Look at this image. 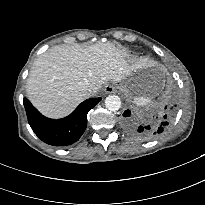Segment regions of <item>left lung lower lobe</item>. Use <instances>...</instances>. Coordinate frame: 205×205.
<instances>
[{
  "label": "left lung lower lobe",
  "instance_id": "0a47b994",
  "mask_svg": "<svg viewBox=\"0 0 205 205\" xmlns=\"http://www.w3.org/2000/svg\"><path fill=\"white\" fill-rule=\"evenodd\" d=\"M165 109L164 112L156 117V120L146 124L136 123L133 117L130 116V110H126L123 114L125 117L124 126L131 134L139 139L151 140L157 138L168 129L173 117L172 108L165 107Z\"/></svg>",
  "mask_w": 205,
  "mask_h": 205
}]
</instances>
